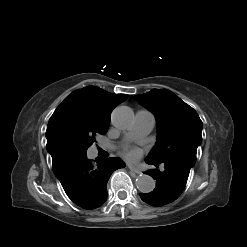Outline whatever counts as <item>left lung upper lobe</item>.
Segmentation results:
<instances>
[{
  "label": "left lung upper lobe",
  "mask_w": 247,
  "mask_h": 247,
  "mask_svg": "<svg viewBox=\"0 0 247 247\" xmlns=\"http://www.w3.org/2000/svg\"><path fill=\"white\" fill-rule=\"evenodd\" d=\"M135 99L152 111L157 120L158 138L147 159L155 163L179 162L191 168L202 142L203 123L197 112L174 93L152 89Z\"/></svg>",
  "instance_id": "obj_1"
}]
</instances>
